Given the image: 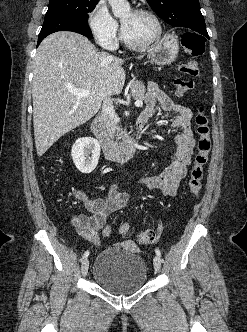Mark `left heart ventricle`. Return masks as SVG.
Masks as SVG:
<instances>
[{"mask_svg": "<svg viewBox=\"0 0 247 332\" xmlns=\"http://www.w3.org/2000/svg\"><path fill=\"white\" fill-rule=\"evenodd\" d=\"M121 18L126 35L132 42H145L149 40L156 31V25L149 16L128 11L123 14Z\"/></svg>", "mask_w": 247, "mask_h": 332, "instance_id": "obj_1", "label": "left heart ventricle"}]
</instances>
